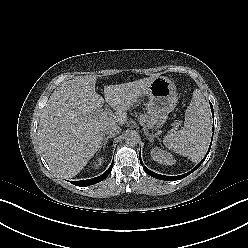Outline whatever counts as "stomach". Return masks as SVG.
Returning a JSON list of instances; mask_svg holds the SVG:
<instances>
[{"label":"stomach","instance_id":"0dacf381","mask_svg":"<svg viewBox=\"0 0 248 248\" xmlns=\"http://www.w3.org/2000/svg\"><path fill=\"white\" fill-rule=\"evenodd\" d=\"M149 98L146 104L148 125H160L162 120L175 108L177 103L176 87L165 76L155 77L142 92Z\"/></svg>","mask_w":248,"mask_h":248}]
</instances>
